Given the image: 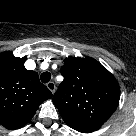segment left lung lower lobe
<instances>
[{"label":"left lung lower lobe","mask_w":136,"mask_h":136,"mask_svg":"<svg viewBox=\"0 0 136 136\" xmlns=\"http://www.w3.org/2000/svg\"><path fill=\"white\" fill-rule=\"evenodd\" d=\"M90 132H92V131H85V132H83V133H90Z\"/></svg>","instance_id":"0a47b994"}]
</instances>
